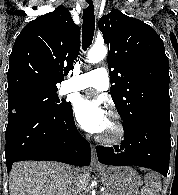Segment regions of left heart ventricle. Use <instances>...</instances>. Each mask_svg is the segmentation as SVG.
<instances>
[{
	"mask_svg": "<svg viewBox=\"0 0 178 195\" xmlns=\"http://www.w3.org/2000/svg\"><path fill=\"white\" fill-rule=\"evenodd\" d=\"M114 133V124L110 116H108V120L104 125L102 131L100 132L101 136L109 137Z\"/></svg>",
	"mask_w": 178,
	"mask_h": 195,
	"instance_id": "obj_1",
	"label": "left heart ventricle"
}]
</instances>
